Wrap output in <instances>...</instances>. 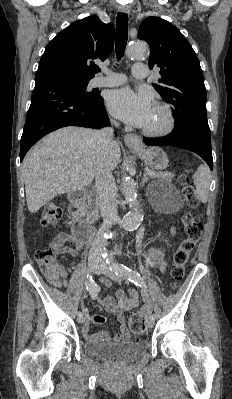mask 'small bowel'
Masks as SVG:
<instances>
[{"mask_svg":"<svg viewBox=\"0 0 232 399\" xmlns=\"http://www.w3.org/2000/svg\"><path fill=\"white\" fill-rule=\"evenodd\" d=\"M84 246L83 242H74L71 244L58 242L54 243L53 248L57 253L60 254H70L76 255L77 252ZM149 260L157 262L161 267H165V261L163 255L160 252L154 251L150 256ZM101 282L107 289H111L113 283L110 279L103 277ZM118 301H115L112 297L108 296L101 301L103 306L112 313H115L119 323L120 328L118 332L110 333L108 337L111 340H119L127 337L130 332V328L124 323V313L126 310L133 309L138 305V291L135 288H131L128 291V296L125 295L123 290L117 291ZM82 313L87 318L88 322L80 325L79 330L85 336L87 343L91 346L97 345L99 341V336L92 332L93 324H101L104 322V318L101 315L92 314L88 307H81Z\"/></svg>","mask_w":232,"mask_h":399,"instance_id":"1","label":"small bowel"}]
</instances>
